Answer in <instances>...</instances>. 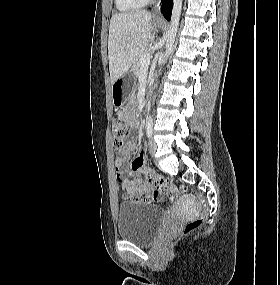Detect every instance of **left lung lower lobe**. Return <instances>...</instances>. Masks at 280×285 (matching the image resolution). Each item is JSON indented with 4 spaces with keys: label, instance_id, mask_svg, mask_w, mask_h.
Wrapping results in <instances>:
<instances>
[{
    "label": "left lung lower lobe",
    "instance_id": "obj_1",
    "mask_svg": "<svg viewBox=\"0 0 280 285\" xmlns=\"http://www.w3.org/2000/svg\"><path fill=\"white\" fill-rule=\"evenodd\" d=\"M173 0H162L161 12L167 20L171 19Z\"/></svg>",
    "mask_w": 280,
    "mask_h": 285
}]
</instances>
